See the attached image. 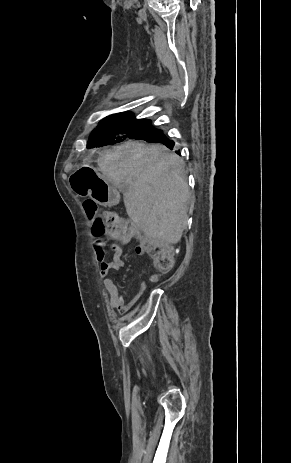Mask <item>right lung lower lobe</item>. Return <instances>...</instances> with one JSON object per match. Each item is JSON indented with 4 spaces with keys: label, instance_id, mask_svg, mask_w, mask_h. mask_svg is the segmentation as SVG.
<instances>
[{
    "label": "right lung lower lobe",
    "instance_id": "1",
    "mask_svg": "<svg viewBox=\"0 0 291 463\" xmlns=\"http://www.w3.org/2000/svg\"><path fill=\"white\" fill-rule=\"evenodd\" d=\"M147 142H152V143H162L165 146H167L170 149H173L174 147V142L172 140L167 139V137L161 132L154 137H151L149 139H146ZM179 154V152H177Z\"/></svg>",
    "mask_w": 291,
    "mask_h": 463
}]
</instances>
